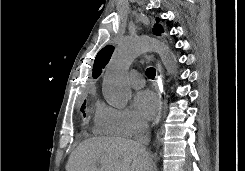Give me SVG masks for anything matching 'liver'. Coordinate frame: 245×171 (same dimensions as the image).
<instances>
[{
    "instance_id": "liver-1",
    "label": "liver",
    "mask_w": 245,
    "mask_h": 171,
    "mask_svg": "<svg viewBox=\"0 0 245 171\" xmlns=\"http://www.w3.org/2000/svg\"><path fill=\"white\" fill-rule=\"evenodd\" d=\"M66 171H153V162L133 140L94 137L71 153Z\"/></svg>"
}]
</instances>
